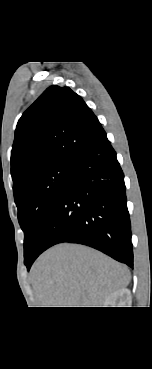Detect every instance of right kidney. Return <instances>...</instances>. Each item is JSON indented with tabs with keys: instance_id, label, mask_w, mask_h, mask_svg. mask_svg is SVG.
<instances>
[{
	"instance_id": "obj_1",
	"label": "right kidney",
	"mask_w": 152,
	"mask_h": 369,
	"mask_svg": "<svg viewBox=\"0 0 152 369\" xmlns=\"http://www.w3.org/2000/svg\"><path fill=\"white\" fill-rule=\"evenodd\" d=\"M130 298V290L127 288H122L113 292L106 298L104 307H124Z\"/></svg>"
}]
</instances>
